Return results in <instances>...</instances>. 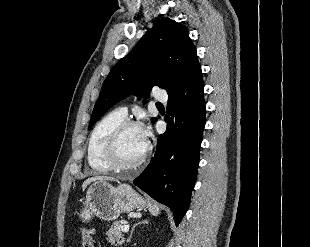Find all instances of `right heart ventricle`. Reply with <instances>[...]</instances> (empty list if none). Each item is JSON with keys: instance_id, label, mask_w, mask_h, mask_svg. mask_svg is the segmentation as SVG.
Wrapping results in <instances>:
<instances>
[{"instance_id": "right-heart-ventricle-1", "label": "right heart ventricle", "mask_w": 310, "mask_h": 247, "mask_svg": "<svg viewBox=\"0 0 310 247\" xmlns=\"http://www.w3.org/2000/svg\"><path fill=\"white\" fill-rule=\"evenodd\" d=\"M123 120H125V116L118 110H114L105 115L94 126L87 146V161L93 171L97 173L110 171L103 158L105 142L111 131Z\"/></svg>"}]
</instances>
